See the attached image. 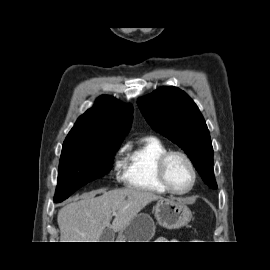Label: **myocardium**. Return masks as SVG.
<instances>
[{"label":"myocardium","mask_w":270,"mask_h":270,"mask_svg":"<svg viewBox=\"0 0 270 270\" xmlns=\"http://www.w3.org/2000/svg\"><path fill=\"white\" fill-rule=\"evenodd\" d=\"M174 156H179L181 158H183L186 163L188 164L191 173H192V182L190 184V186L185 189V190H177L175 189L169 179H168V175H167V165L169 160L174 157ZM157 175H158V179L160 181V183L162 184V186L167 190V192L172 193V194H176V195H185L188 194L196 185L197 182V170L196 167L192 161V159L183 151L180 150H170L165 152L158 160L157 162Z\"/></svg>","instance_id":"myocardium-1"}]
</instances>
